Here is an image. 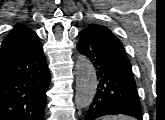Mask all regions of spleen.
I'll return each mask as SVG.
<instances>
[{
    "label": "spleen",
    "mask_w": 165,
    "mask_h": 120,
    "mask_svg": "<svg viewBox=\"0 0 165 120\" xmlns=\"http://www.w3.org/2000/svg\"><path fill=\"white\" fill-rule=\"evenodd\" d=\"M102 120H134V119L126 115H111V116L103 117Z\"/></svg>",
    "instance_id": "spleen-1"
}]
</instances>
